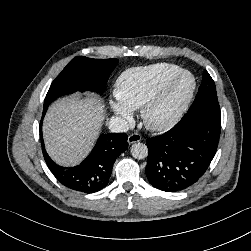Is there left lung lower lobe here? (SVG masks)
Here are the masks:
<instances>
[{
  "label": "left lung lower lobe",
  "mask_w": 251,
  "mask_h": 251,
  "mask_svg": "<svg viewBox=\"0 0 251 251\" xmlns=\"http://www.w3.org/2000/svg\"><path fill=\"white\" fill-rule=\"evenodd\" d=\"M220 130V112L189 109L168 132L148 138L145 173L150 184L176 192L197 182L216 153Z\"/></svg>",
  "instance_id": "0a47b994"
}]
</instances>
